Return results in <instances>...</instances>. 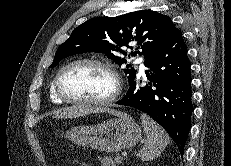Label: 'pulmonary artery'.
I'll return each mask as SVG.
<instances>
[{"label":"pulmonary artery","instance_id":"pulmonary-artery-1","mask_svg":"<svg viewBox=\"0 0 231 166\" xmlns=\"http://www.w3.org/2000/svg\"><path fill=\"white\" fill-rule=\"evenodd\" d=\"M138 62L140 63L141 71H144V64L142 59H138Z\"/></svg>","mask_w":231,"mask_h":166}]
</instances>
